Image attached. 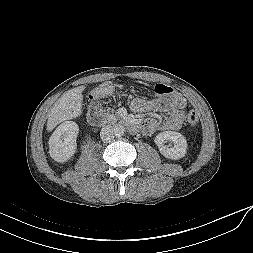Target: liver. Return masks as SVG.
Wrapping results in <instances>:
<instances>
[{
    "label": "liver",
    "mask_w": 253,
    "mask_h": 253,
    "mask_svg": "<svg viewBox=\"0 0 253 253\" xmlns=\"http://www.w3.org/2000/svg\"><path fill=\"white\" fill-rule=\"evenodd\" d=\"M86 86L82 85L66 91L55 103L47 120V131L58 124L79 117L82 113L83 95Z\"/></svg>",
    "instance_id": "obj_1"
}]
</instances>
